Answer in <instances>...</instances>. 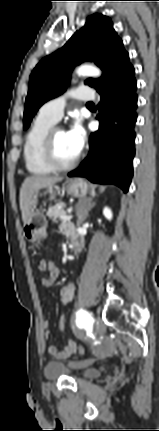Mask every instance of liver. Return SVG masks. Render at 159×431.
Wrapping results in <instances>:
<instances>
[{"label":"liver","mask_w":159,"mask_h":431,"mask_svg":"<svg viewBox=\"0 0 159 431\" xmlns=\"http://www.w3.org/2000/svg\"><path fill=\"white\" fill-rule=\"evenodd\" d=\"M60 177L50 176H30L27 177L20 188V209L22 212V220L24 224L27 222L30 214V200L34 192L52 186L53 184L61 181Z\"/></svg>","instance_id":"6515ba94"}]
</instances>
